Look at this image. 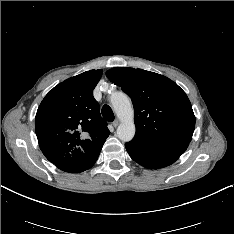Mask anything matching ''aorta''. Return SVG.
<instances>
[{"mask_svg":"<svg viewBox=\"0 0 234 234\" xmlns=\"http://www.w3.org/2000/svg\"><path fill=\"white\" fill-rule=\"evenodd\" d=\"M111 104L121 123L117 128V136L121 141L129 142L135 135L133 121L134 110L129 97L123 92H116L111 96Z\"/></svg>","mask_w":234,"mask_h":234,"instance_id":"obj_1","label":"aorta"}]
</instances>
